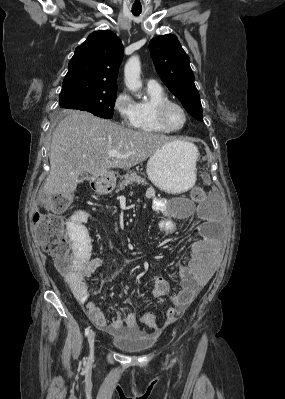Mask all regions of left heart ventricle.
Listing matches in <instances>:
<instances>
[{"label": "left heart ventricle", "instance_id": "left-heart-ventricle-1", "mask_svg": "<svg viewBox=\"0 0 285 399\" xmlns=\"http://www.w3.org/2000/svg\"><path fill=\"white\" fill-rule=\"evenodd\" d=\"M168 120L171 125L178 127L183 124V115L177 108L172 107L168 112Z\"/></svg>", "mask_w": 285, "mask_h": 399}]
</instances>
